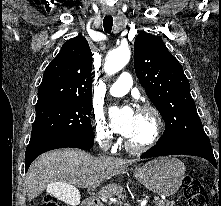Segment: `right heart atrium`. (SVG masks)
I'll use <instances>...</instances> for the list:
<instances>
[{
	"mask_svg": "<svg viewBox=\"0 0 221 206\" xmlns=\"http://www.w3.org/2000/svg\"><path fill=\"white\" fill-rule=\"evenodd\" d=\"M93 127L97 142L108 150L114 149L116 141L113 132L106 124L101 113H95Z\"/></svg>",
	"mask_w": 221,
	"mask_h": 206,
	"instance_id": "right-heart-atrium-1",
	"label": "right heart atrium"
}]
</instances>
